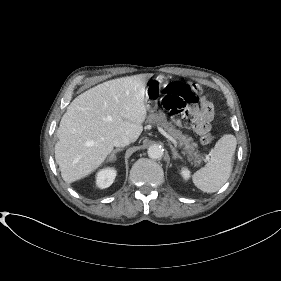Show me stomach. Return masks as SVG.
<instances>
[{
	"mask_svg": "<svg viewBox=\"0 0 281 281\" xmlns=\"http://www.w3.org/2000/svg\"><path fill=\"white\" fill-rule=\"evenodd\" d=\"M163 84L164 80L162 78L157 77L153 79L148 85L145 97V106L148 111L154 112L158 108V96L161 92Z\"/></svg>",
	"mask_w": 281,
	"mask_h": 281,
	"instance_id": "1",
	"label": "stomach"
}]
</instances>
